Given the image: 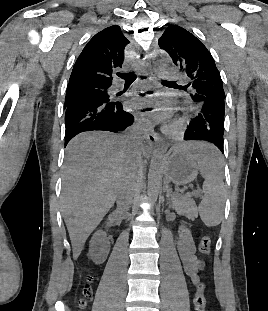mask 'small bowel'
Here are the masks:
<instances>
[{
  "instance_id": "c3829d8e",
  "label": "small bowel",
  "mask_w": 268,
  "mask_h": 311,
  "mask_svg": "<svg viewBox=\"0 0 268 311\" xmlns=\"http://www.w3.org/2000/svg\"><path fill=\"white\" fill-rule=\"evenodd\" d=\"M176 246L184 272L194 285L199 284V272L204 269V263L196 256V246L188 226H180L176 237Z\"/></svg>"
}]
</instances>
